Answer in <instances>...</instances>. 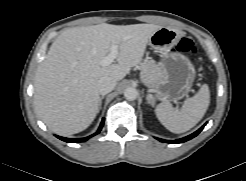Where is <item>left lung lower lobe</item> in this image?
Returning <instances> with one entry per match:
<instances>
[{
    "label": "left lung lower lobe",
    "mask_w": 246,
    "mask_h": 181,
    "mask_svg": "<svg viewBox=\"0 0 246 181\" xmlns=\"http://www.w3.org/2000/svg\"><path fill=\"white\" fill-rule=\"evenodd\" d=\"M206 124H204L200 129H198L196 132L192 133L191 135L187 136V137H184V138H181V139H178V140H174V141H167V140H162V139H158L159 141L161 142H167V143H174V144H178V143H183V142H186L192 138H194L195 136H197L201 131L202 129L204 128Z\"/></svg>",
    "instance_id": "obj_1"
}]
</instances>
